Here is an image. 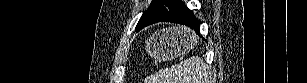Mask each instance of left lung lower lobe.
<instances>
[{
	"label": "left lung lower lobe",
	"instance_id": "1",
	"mask_svg": "<svg viewBox=\"0 0 307 83\" xmlns=\"http://www.w3.org/2000/svg\"><path fill=\"white\" fill-rule=\"evenodd\" d=\"M165 22H174L189 26L195 32L200 34V21L196 19L193 12L185 6L183 2L177 0L174 4L173 8L170 10L167 16H165L162 20ZM159 21V22H160ZM142 28L136 29V31L141 30Z\"/></svg>",
	"mask_w": 307,
	"mask_h": 83
}]
</instances>
